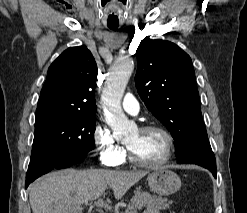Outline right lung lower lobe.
Masks as SVG:
<instances>
[{
  "label": "right lung lower lobe",
  "mask_w": 247,
  "mask_h": 213,
  "mask_svg": "<svg viewBox=\"0 0 247 213\" xmlns=\"http://www.w3.org/2000/svg\"><path fill=\"white\" fill-rule=\"evenodd\" d=\"M87 154L80 156L78 158H67V157H60L56 153H52L47 158L36 161L35 163H30L28 167V171L26 174V183L25 187L27 188L28 185L33 182L36 178L51 171L54 168H66L73 164L80 163L84 160ZM38 170V171H37Z\"/></svg>",
  "instance_id": "1"
}]
</instances>
